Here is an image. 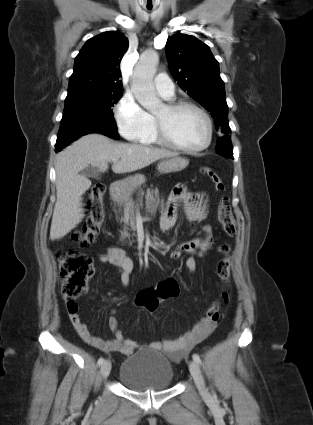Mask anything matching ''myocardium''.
Instances as JSON below:
<instances>
[{"label":"myocardium","mask_w":313,"mask_h":425,"mask_svg":"<svg viewBox=\"0 0 313 425\" xmlns=\"http://www.w3.org/2000/svg\"><path fill=\"white\" fill-rule=\"evenodd\" d=\"M165 108L171 115H175L178 112L182 110H186V109H192L200 113L205 119L207 124V138H206V141L201 146L196 148H187L179 144L170 135L165 123L162 120H160L158 117H155V133L161 144L186 154L200 153L206 150L211 145L213 140L214 126H213V121L210 115L207 113L205 109H203L202 107H200L199 105L195 103L188 102V101L170 102L165 105Z\"/></svg>","instance_id":"1"}]
</instances>
